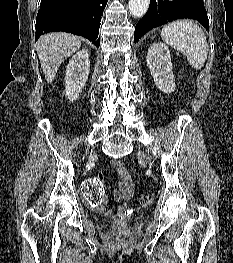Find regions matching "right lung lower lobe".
I'll use <instances>...</instances> for the list:
<instances>
[{"mask_svg": "<svg viewBox=\"0 0 233 263\" xmlns=\"http://www.w3.org/2000/svg\"><path fill=\"white\" fill-rule=\"evenodd\" d=\"M108 0H41L36 17V40L52 31H64L81 35L95 46L101 15Z\"/></svg>", "mask_w": 233, "mask_h": 263, "instance_id": "98d812e1", "label": "right lung lower lobe"}]
</instances>
